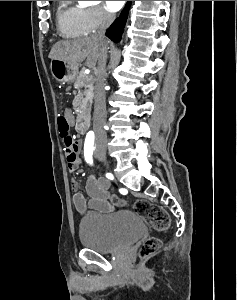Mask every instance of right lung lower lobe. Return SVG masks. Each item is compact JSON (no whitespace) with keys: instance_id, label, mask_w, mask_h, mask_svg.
Segmentation results:
<instances>
[{"instance_id":"1","label":"right lung lower lobe","mask_w":237,"mask_h":300,"mask_svg":"<svg viewBox=\"0 0 237 300\" xmlns=\"http://www.w3.org/2000/svg\"><path fill=\"white\" fill-rule=\"evenodd\" d=\"M130 5L131 1H128L120 17L116 19L115 22L106 31V36L114 42H119L121 40Z\"/></svg>"}]
</instances>
